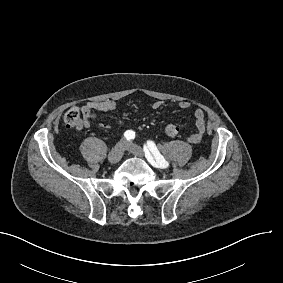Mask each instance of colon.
<instances>
[{
	"label": "colon",
	"mask_w": 283,
	"mask_h": 283,
	"mask_svg": "<svg viewBox=\"0 0 283 283\" xmlns=\"http://www.w3.org/2000/svg\"><path fill=\"white\" fill-rule=\"evenodd\" d=\"M65 127L67 129H78L81 126V119L79 115V108H71L64 115ZM165 134L168 137H176L179 134V128L177 125H168L165 128Z\"/></svg>",
	"instance_id": "colon-1"
}]
</instances>
